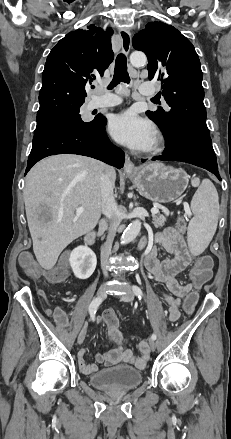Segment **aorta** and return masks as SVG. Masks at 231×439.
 Instances as JSON below:
<instances>
[{
    "mask_svg": "<svg viewBox=\"0 0 231 439\" xmlns=\"http://www.w3.org/2000/svg\"><path fill=\"white\" fill-rule=\"evenodd\" d=\"M130 62L135 67L144 66L147 62V57L143 52L135 51L130 55ZM141 230V222L140 220H134L126 230L123 232L120 243L122 245L128 244L133 241Z\"/></svg>",
    "mask_w": 231,
    "mask_h": 439,
    "instance_id": "1",
    "label": "aorta"
}]
</instances>
